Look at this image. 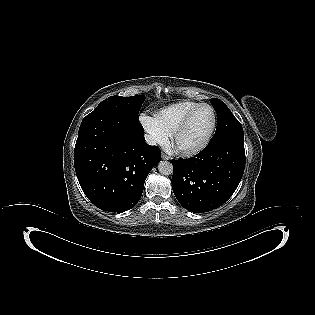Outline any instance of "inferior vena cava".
<instances>
[{
  "label": "inferior vena cava",
  "instance_id": "inferior-vena-cava-1",
  "mask_svg": "<svg viewBox=\"0 0 315 315\" xmlns=\"http://www.w3.org/2000/svg\"><path fill=\"white\" fill-rule=\"evenodd\" d=\"M145 140L150 145H155L156 144L155 139L151 135L146 134L145 135Z\"/></svg>",
  "mask_w": 315,
  "mask_h": 315
}]
</instances>
